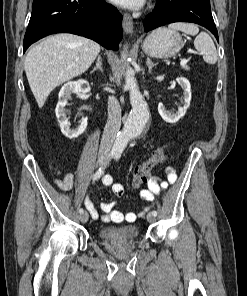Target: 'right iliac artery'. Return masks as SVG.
<instances>
[{"label": "right iliac artery", "instance_id": "82829eb1", "mask_svg": "<svg viewBox=\"0 0 247 296\" xmlns=\"http://www.w3.org/2000/svg\"><path fill=\"white\" fill-rule=\"evenodd\" d=\"M114 155H115V152L112 151L111 153L108 154L107 159L108 160L111 159ZM104 170H105V167L101 166L93 175V180H98L104 174ZM83 212H84V210L82 208L79 209L80 214Z\"/></svg>", "mask_w": 247, "mask_h": 296}]
</instances>
